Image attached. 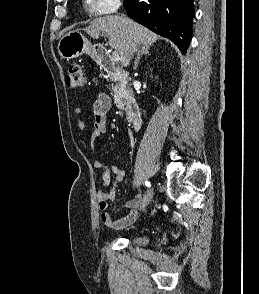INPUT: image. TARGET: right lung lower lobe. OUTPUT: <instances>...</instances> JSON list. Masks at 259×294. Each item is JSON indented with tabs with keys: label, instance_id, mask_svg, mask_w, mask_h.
Instances as JSON below:
<instances>
[{
	"label": "right lung lower lobe",
	"instance_id": "obj_1",
	"mask_svg": "<svg viewBox=\"0 0 259 294\" xmlns=\"http://www.w3.org/2000/svg\"><path fill=\"white\" fill-rule=\"evenodd\" d=\"M124 7L133 20L170 39L186 53L192 35L193 0H125Z\"/></svg>",
	"mask_w": 259,
	"mask_h": 294
}]
</instances>
